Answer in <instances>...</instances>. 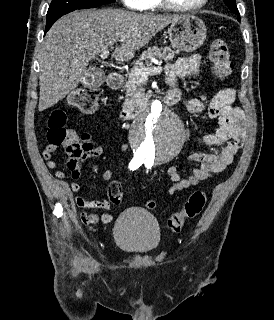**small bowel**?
Returning a JSON list of instances; mask_svg holds the SVG:
<instances>
[{
    "label": "small bowel",
    "mask_w": 274,
    "mask_h": 320,
    "mask_svg": "<svg viewBox=\"0 0 274 320\" xmlns=\"http://www.w3.org/2000/svg\"><path fill=\"white\" fill-rule=\"evenodd\" d=\"M200 62V56L193 54L189 57L179 58L174 64L168 65L166 67V81L170 86V92H179L177 86L178 78L187 77L192 80H198L200 78ZM235 98V89L228 86L210 98L202 96L185 102L187 109L191 113H205L208 119H216L219 126L214 133L206 134L202 137L203 144L210 148V151L207 153H194L189 156V161L197 163L199 167L193 169L185 177L181 175L177 166H169L167 168V177L172 182V185L167 190L169 196L207 180L213 174L223 171L232 163L245 142L247 126L246 117L242 109L233 106ZM121 150L127 152L129 150L128 145H122ZM44 151L42 157L48 163V167L56 170V177L63 178L64 172L59 169L58 163L52 160L55 157L54 153L57 151L56 146H45ZM103 151L101 146L92 147L88 144L84 150L72 153V155L76 158H94L101 156ZM114 173V169H107L102 177L105 181H111ZM79 176L80 172L77 169L71 173L73 179H78ZM70 190L76 194L74 203L79 208L107 211L111 207L108 200L90 201L79 195L81 186L77 182L70 184ZM79 216L82 223L86 225L108 224L113 219L112 215L108 213L98 215L87 213L86 211H81Z\"/></svg>",
    "instance_id": "c3829d8e"
}]
</instances>
